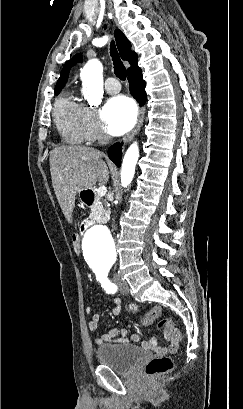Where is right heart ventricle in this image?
<instances>
[{
  "label": "right heart ventricle",
  "mask_w": 243,
  "mask_h": 409,
  "mask_svg": "<svg viewBox=\"0 0 243 409\" xmlns=\"http://www.w3.org/2000/svg\"><path fill=\"white\" fill-rule=\"evenodd\" d=\"M78 104L70 93H64L55 102L54 121L57 130L63 139L69 143L77 144L83 141L79 125Z\"/></svg>",
  "instance_id": "e07e8e85"
}]
</instances>
